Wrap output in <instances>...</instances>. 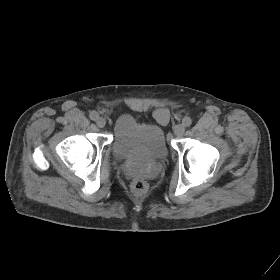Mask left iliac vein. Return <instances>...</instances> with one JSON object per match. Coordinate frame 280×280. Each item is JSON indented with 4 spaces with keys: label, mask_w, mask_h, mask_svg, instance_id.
I'll return each instance as SVG.
<instances>
[{
    "label": "left iliac vein",
    "mask_w": 280,
    "mask_h": 280,
    "mask_svg": "<svg viewBox=\"0 0 280 280\" xmlns=\"http://www.w3.org/2000/svg\"><path fill=\"white\" fill-rule=\"evenodd\" d=\"M174 134L177 136V137H181L184 132H185V128L182 124H178L174 127Z\"/></svg>",
    "instance_id": "obj_1"
}]
</instances>
